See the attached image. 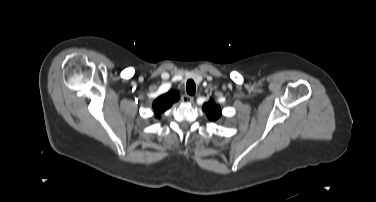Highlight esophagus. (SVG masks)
<instances>
[{
    "label": "esophagus",
    "instance_id": "obj_1",
    "mask_svg": "<svg viewBox=\"0 0 376 202\" xmlns=\"http://www.w3.org/2000/svg\"><path fill=\"white\" fill-rule=\"evenodd\" d=\"M193 97L192 96H189V95H186V94H184L183 96H182V101L184 102V103H192L193 102Z\"/></svg>",
    "mask_w": 376,
    "mask_h": 202
}]
</instances>
